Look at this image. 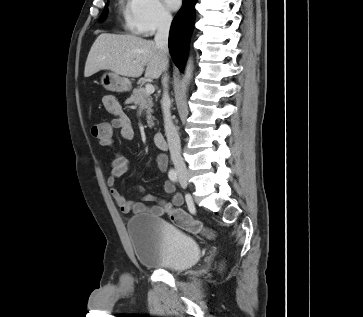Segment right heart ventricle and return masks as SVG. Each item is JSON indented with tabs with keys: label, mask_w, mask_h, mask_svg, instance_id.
<instances>
[{
	"label": "right heart ventricle",
	"mask_w": 363,
	"mask_h": 317,
	"mask_svg": "<svg viewBox=\"0 0 363 317\" xmlns=\"http://www.w3.org/2000/svg\"><path fill=\"white\" fill-rule=\"evenodd\" d=\"M120 11L125 19L126 25L129 27V14H128V8L125 6L120 7ZM130 28V27H129Z\"/></svg>",
	"instance_id": "right-heart-ventricle-1"
}]
</instances>
